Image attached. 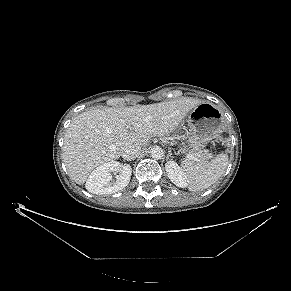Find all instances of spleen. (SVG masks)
I'll use <instances>...</instances> for the list:
<instances>
[{
    "label": "spleen",
    "mask_w": 291,
    "mask_h": 291,
    "mask_svg": "<svg viewBox=\"0 0 291 291\" xmlns=\"http://www.w3.org/2000/svg\"><path fill=\"white\" fill-rule=\"evenodd\" d=\"M228 156L219 154L208 165L195 164L189 160L181 161V168L186 175L190 191H203L213 185L225 172Z\"/></svg>",
    "instance_id": "3e777b00"
}]
</instances>
